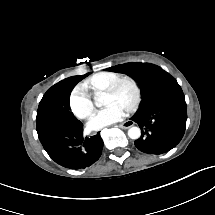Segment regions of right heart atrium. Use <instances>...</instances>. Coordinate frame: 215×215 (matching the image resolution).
Returning a JSON list of instances; mask_svg holds the SVG:
<instances>
[{"instance_id": "obj_1", "label": "right heart atrium", "mask_w": 215, "mask_h": 215, "mask_svg": "<svg viewBox=\"0 0 215 215\" xmlns=\"http://www.w3.org/2000/svg\"><path fill=\"white\" fill-rule=\"evenodd\" d=\"M70 104L75 114L82 118L90 116L94 111V105L90 99L80 97L75 93L71 96Z\"/></svg>"}]
</instances>
